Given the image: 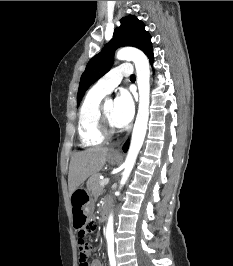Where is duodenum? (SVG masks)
Listing matches in <instances>:
<instances>
[{
  "label": "duodenum",
  "mask_w": 233,
  "mask_h": 266,
  "mask_svg": "<svg viewBox=\"0 0 233 266\" xmlns=\"http://www.w3.org/2000/svg\"><path fill=\"white\" fill-rule=\"evenodd\" d=\"M108 213V206L107 204H104L101 209V218H105Z\"/></svg>",
  "instance_id": "410a0bca"
}]
</instances>
